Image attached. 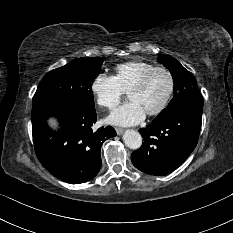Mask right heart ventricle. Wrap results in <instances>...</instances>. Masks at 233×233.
<instances>
[{"instance_id": "1", "label": "right heart ventricle", "mask_w": 233, "mask_h": 233, "mask_svg": "<svg viewBox=\"0 0 233 233\" xmlns=\"http://www.w3.org/2000/svg\"><path fill=\"white\" fill-rule=\"evenodd\" d=\"M154 64L145 61H129L118 64L113 77L124 92H128L147 72L154 69Z\"/></svg>"}]
</instances>
